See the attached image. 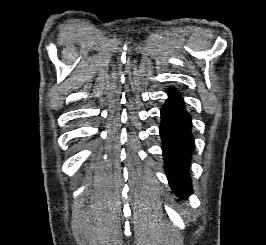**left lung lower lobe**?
<instances>
[{"label": "left lung lower lobe", "mask_w": 266, "mask_h": 245, "mask_svg": "<svg viewBox=\"0 0 266 245\" xmlns=\"http://www.w3.org/2000/svg\"><path fill=\"white\" fill-rule=\"evenodd\" d=\"M168 96L161 109L162 120L159 128L163 141L164 169L173 192L181 198H187L192 193L188 172L194 150L191 116L179 91L168 89Z\"/></svg>", "instance_id": "1"}]
</instances>
